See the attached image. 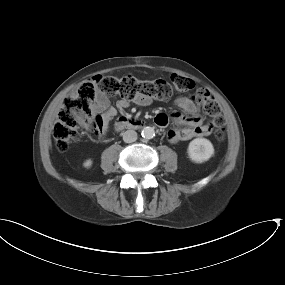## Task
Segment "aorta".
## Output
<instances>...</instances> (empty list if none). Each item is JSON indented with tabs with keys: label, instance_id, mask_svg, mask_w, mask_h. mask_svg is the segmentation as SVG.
<instances>
[{
	"label": "aorta",
	"instance_id": "obj_1",
	"mask_svg": "<svg viewBox=\"0 0 285 285\" xmlns=\"http://www.w3.org/2000/svg\"><path fill=\"white\" fill-rule=\"evenodd\" d=\"M141 135L145 139H152L155 136V130L152 127H144L141 131Z\"/></svg>",
	"mask_w": 285,
	"mask_h": 285
}]
</instances>
